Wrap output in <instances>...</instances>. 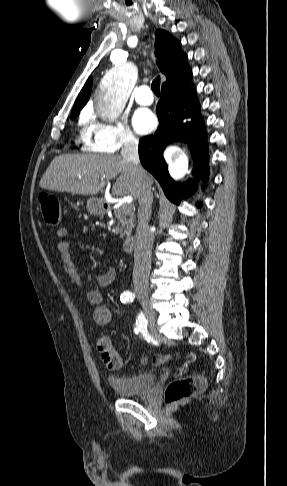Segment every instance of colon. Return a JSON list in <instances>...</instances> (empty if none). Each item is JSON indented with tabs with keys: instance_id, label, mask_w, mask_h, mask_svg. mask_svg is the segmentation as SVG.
<instances>
[{
	"instance_id": "1",
	"label": "colon",
	"mask_w": 287,
	"mask_h": 486,
	"mask_svg": "<svg viewBox=\"0 0 287 486\" xmlns=\"http://www.w3.org/2000/svg\"><path fill=\"white\" fill-rule=\"evenodd\" d=\"M39 203L46 224L51 226L57 225L61 220L59 200L54 195L42 193L39 196ZM96 347L104 365L108 369L117 370L122 367V358L114 349L111 339L108 336H99L96 341ZM170 358L171 356L167 354H156L145 359V362L158 366L166 363ZM204 386V380L199 376L173 380L165 388V402L169 407H174L185 401L193 393L202 391Z\"/></svg>"
}]
</instances>
